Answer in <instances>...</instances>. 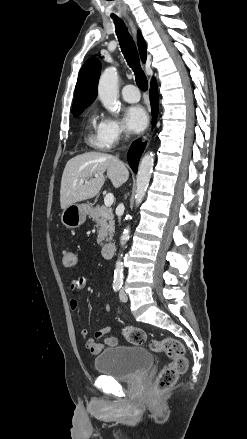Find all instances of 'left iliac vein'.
I'll use <instances>...</instances> for the list:
<instances>
[{
	"label": "left iliac vein",
	"mask_w": 247,
	"mask_h": 439,
	"mask_svg": "<svg viewBox=\"0 0 247 439\" xmlns=\"http://www.w3.org/2000/svg\"><path fill=\"white\" fill-rule=\"evenodd\" d=\"M119 298L122 302H127L128 297L124 289H122L119 293Z\"/></svg>",
	"instance_id": "4c4485c4"
}]
</instances>
